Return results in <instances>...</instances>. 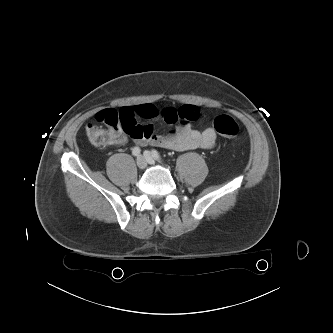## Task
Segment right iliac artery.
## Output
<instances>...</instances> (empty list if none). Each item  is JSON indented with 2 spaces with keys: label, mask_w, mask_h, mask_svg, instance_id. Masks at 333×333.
<instances>
[{
  "label": "right iliac artery",
  "mask_w": 333,
  "mask_h": 333,
  "mask_svg": "<svg viewBox=\"0 0 333 333\" xmlns=\"http://www.w3.org/2000/svg\"><path fill=\"white\" fill-rule=\"evenodd\" d=\"M140 148L139 147H134L133 149H132V154L134 155V156H139V154H140Z\"/></svg>",
  "instance_id": "obj_1"
}]
</instances>
